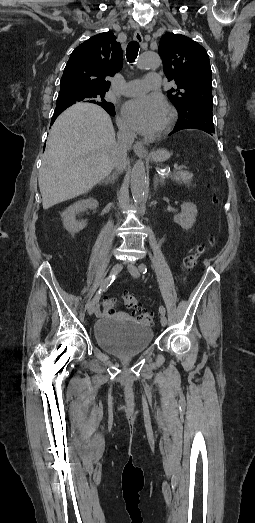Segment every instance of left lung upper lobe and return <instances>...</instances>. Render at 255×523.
Wrapping results in <instances>:
<instances>
[{"label": "left lung upper lobe", "mask_w": 255, "mask_h": 523, "mask_svg": "<svg viewBox=\"0 0 255 523\" xmlns=\"http://www.w3.org/2000/svg\"><path fill=\"white\" fill-rule=\"evenodd\" d=\"M159 55L168 81L177 88L170 89L168 98L176 106L180 118L174 130L196 127L215 133L213 123L212 71L206 50L192 39L174 33L162 36ZM173 134V131L171 132Z\"/></svg>", "instance_id": "left-lung-upper-lobe-1"}]
</instances>
